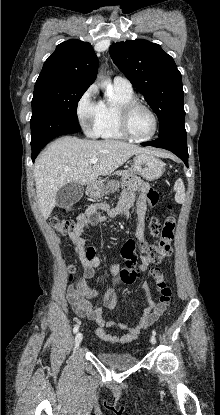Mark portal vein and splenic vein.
Listing matches in <instances>:
<instances>
[{
  "label": "portal vein and splenic vein",
  "instance_id": "1",
  "mask_svg": "<svg viewBox=\"0 0 220 415\" xmlns=\"http://www.w3.org/2000/svg\"><path fill=\"white\" fill-rule=\"evenodd\" d=\"M90 162H91L92 164H96V163L98 162V159H97V158H92V159L90 160Z\"/></svg>",
  "mask_w": 220,
  "mask_h": 415
}]
</instances>
